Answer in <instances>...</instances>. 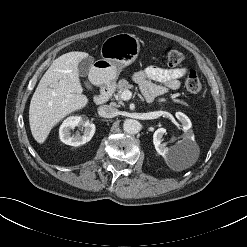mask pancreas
Listing matches in <instances>:
<instances>
[{"label":"pancreas","mask_w":247,"mask_h":247,"mask_svg":"<svg viewBox=\"0 0 247 247\" xmlns=\"http://www.w3.org/2000/svg\"><path fill=\"white\" fill-rule=\"evenodd\" d=\"M133 85L130 84L126 79H121L119 80V82L117 83V85L115 86L114 90L117 91V93L114 94L115 99L119 102V104L123 105L122 99H121V93L124 90H128V89H132ZM174 102L183 104V105H187L184 101H181L179 99H174Z\"/></svg>","instance_id":"cf45deb5"}]
</instances>
